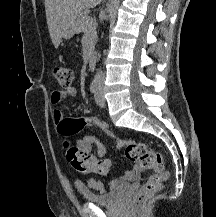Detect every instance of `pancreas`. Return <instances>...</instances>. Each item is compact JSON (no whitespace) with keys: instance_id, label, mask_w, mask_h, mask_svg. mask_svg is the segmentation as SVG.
I'll use <instances>...</instances> for the list:
<instances>
[{"instance_id":"obj_1","label":"pancreas","mask_w":216,"mask_h":217,"mask_svg":"<svg viewBox=\"0 0 216 217\" xmlns=\"http://www.w3.org/2000/svg\"><path fill=\"white\" fill-rule=\"evenodd\" d=\"M75 31L83 32L88 37V48L91 51L94 47L96 35V22L86 12H81L75 21Z\"/></svg>"}]
</instances>
